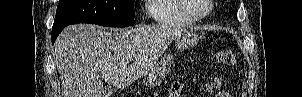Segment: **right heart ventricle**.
<instances>
[{
    "instance_id": "e07e8e85",
    "label": "right heart ventricle",
    "mask_w": 302,
    "mask_h": 97,
    "mask_svg": "<svg viewBox=\"0 0 302 97\" xmlns=\"http://www.w3.org/2000/svg\"><path fill=\"white\" fill-rule=\"evenodd\" d=\"M147 12L153 21L162 26H190L193 20L185 17L177 0H149Z\"/></svg>"
}]
</instances>
